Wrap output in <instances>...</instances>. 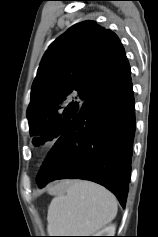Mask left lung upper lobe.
Returning a JSON list of instances; mask_svg holds the SVG:
<instances>
[{
  "label": "left lung upper lobe",
  "instance_id": "5c2ea615",
  "mask_svg": "<svg viewBox=\"0 0 158 237\" xmlns=\"http://www.w3.org/2000/svg\"><path fill=\"white\" fill-rule=\"evenodd\" d=\"M129 73L115 33L91 20L69 28L48 47L32 85L27 109L32 143L59 138L93 96Z\"/></svg>",
  "mask_w": 158,
  "mask_h": 237
}]
</instances>
